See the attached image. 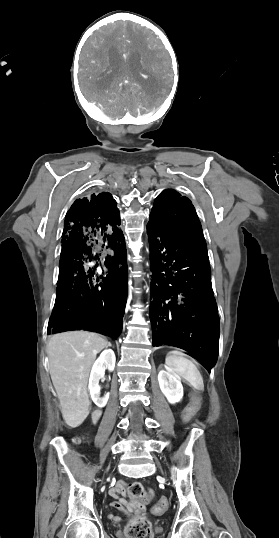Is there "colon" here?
Returning a JSON list of instances; mask_svg holds the SVG:
<instances>
[{
	"mask_svg": "<svg viewBox=\"0 0 279 538\" xmlns=\"http://www.w3.org/2000/svg\"><path fill=\"white\" fill-rule=\"evenodd\" d=\"M129 492L132 497L142 499L145 497V491L140 483H133L129 486ZM168 508V500L165 497H160L153 507L155 515H163ZM128 538H152V532L149 523L143 520H138L135 524L129 526L126 530Z\"/></svg>",
	"mask_w": 279,
	"mask_h": 538,
	"instance_id": "1",
	"label": "colon"
}]
</instances>
